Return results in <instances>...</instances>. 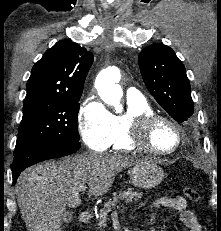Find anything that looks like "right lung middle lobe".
<instances>
[{"mask_svg": "<svg viewBox=\"0 0 221 231\" xmlns=\"http://www.w3.org/2000/svg\"><path fill=\"white\" fill-rule=\"evenodd\" d=\"M78 98H43L24 101L14 155L45 142L79 144Z\"/></svg>", "mask_w": 221, "mask_h": 231, "instance_id": "1", "label": "right lung middle lobe"}]
</instances>
